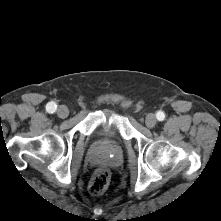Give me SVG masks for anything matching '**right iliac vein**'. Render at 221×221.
Instances as JSON below:
<instances>
[{
  "instance_id": "63e3f726",
  "label": "right iliac vein",
  "mask_w": 221,
  "mask_h": 221,
  "mask_svg": "<svg viewBox=\"0 0 221 221\" xmlns=\"http://www.w3.org/2000/svg\"><path fill=\"white\" fill-rule=\"evenodd\" d=\"M68 114H69V110H68L67 106L61 105V106L58 107V109H57L58 117L64 119L68 116Z\"/></svg>"
}]
</instances>
